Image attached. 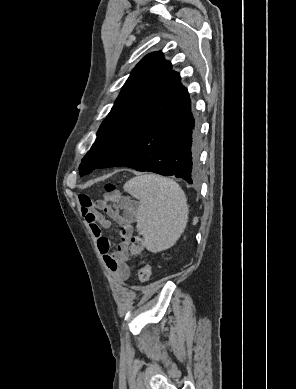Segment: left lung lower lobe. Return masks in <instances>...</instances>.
<instances>
[{
	"mask_svg": "<svg viewBox=\"0 0 296 389\" xmlns=\"http://www.w3.org/2000/svg\"><path fill=\"white\" fill-rule=\"evenodd\" d=\"M99 168L125 166L192 184L197 173L198 124L179 74L109 127L94 147Z\"/></svg>",
	"mask_w": 296,
	"mask_h": 389,
	"instance_id": "1",
	"label": "left lung lower lobe"
}]
</instances>
